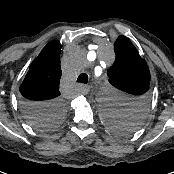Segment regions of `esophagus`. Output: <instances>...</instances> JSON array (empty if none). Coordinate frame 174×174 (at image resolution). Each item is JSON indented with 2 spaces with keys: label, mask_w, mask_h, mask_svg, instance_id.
Returning <instances> with one entry per match:
<instances>
[{
  "label": "esophagus",
  "mask_w": 174,
  "mask_h": 174,
  "mask_svg": "<svg viewBox=\"0 0 174 174\" xmlns=\"http://www.w3.org/2000/svg\"><path fill=\"white\" fill-rule=\"evenodd\" d=\"M90 91V87L89 86H83L82 87V93L83 94H87Z\"/></svg>",
  "instance_id": "1"
}]
</instances>
